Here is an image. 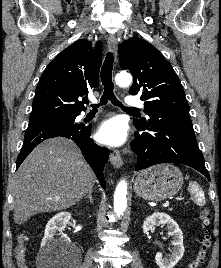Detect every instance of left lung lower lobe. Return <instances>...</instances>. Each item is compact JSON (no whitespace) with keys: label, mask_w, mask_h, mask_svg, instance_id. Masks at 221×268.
<instances>
[{"label":"left lung lower lobe","mask_w":221,"mask_h":268,"mask_svg":"<svg viewBox=\"0 0 221 268\" xmlns=\"http://www.w3.org/2000/svg\"><path fill=\"white\" fill-rule=\"evenodd\" d=\"M147 115V121L134 122L138 130L149 131L135 132L131 142L137 155L136 171L160 163H179L195 168L210 180L189 114L151 111Z\"/></svg>","instance_id":"obj_1"}]
</instances>
